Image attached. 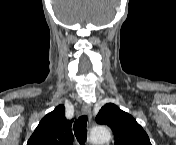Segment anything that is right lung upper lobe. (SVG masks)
<instances>
[{
    "mask_svg": "<svg viewBox=\"0 0 176 145\" xmlns=\"http://www.w3.org/2000/svg\"><path fill=\"white\" fill-rule=\"evenodd\" d=\"M71 124L72 120L65 118L64 105H58L42 118L27 145H71Z\"/></svg>",
    "mask_w": 176,
    "mask_h": 145,
    "instance_id": "right-lung-upper-lobe-1",
    "label": "right lung upper lobe"
}]
</instances>
